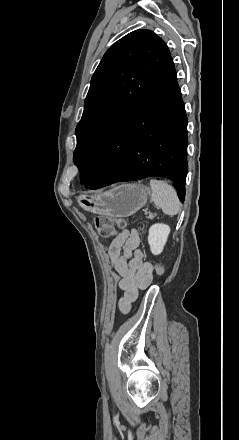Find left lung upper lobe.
Instances as JSON below:
<instances>
[{
    "instance_id": "1",
    "label": "left lung upper lobe",
    "mask_w": 239,
    "mask_h": 440,
    "mask_svg": "<svg viewBox=\"0 0 239 440\" xmlns=\"http://www.w3.org/2000/svg\"><path fill=\"white\" fill-rule=\"evenodd\" d=\"M170 58L164 41L145 29L127 34L106 51L92 76L83 115L76 128L73 160L80 171Z\"/></svg>"
}]
</instances>
